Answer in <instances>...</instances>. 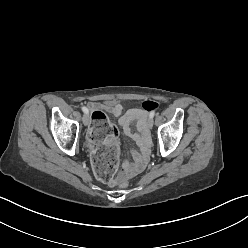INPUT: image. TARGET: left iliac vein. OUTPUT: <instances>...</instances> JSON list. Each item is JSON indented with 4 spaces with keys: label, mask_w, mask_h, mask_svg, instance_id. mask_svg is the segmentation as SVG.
<instances>
[{
    "label": "left iliac vein",
    "mask_w": 248,
    "mask_h": 248,
    "mask_svg": "<svg viewBox=\"0 0 248 248\" xmlns=\"http://www.w3.org/2000/svg\"><path fill=\"white\" fill-rule=\"evenodd\" d=\"M147 127L151 129L153 127V119L149 118L147 121Z\"/></svg>",
    "instance_id": "obj_1"
}]
</instances>
